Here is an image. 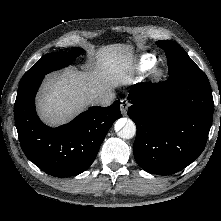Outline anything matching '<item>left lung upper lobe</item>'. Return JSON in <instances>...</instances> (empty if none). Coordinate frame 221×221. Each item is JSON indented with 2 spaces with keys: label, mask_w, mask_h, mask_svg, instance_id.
Masks as SVG:
<instances>
[{
  "label": "left lung upper lobe",
  "mask_w": 221,
  "mask_h": 221,
  "mask_svg": "<svg viewBox=\"0 0 221 221\" xmlns=\"http://www.w3.org/2000/svg\"><path fill=\"white\" fill-rule=\"evenodd\" d=\"M156 44L165 51L170 76L181 73L201 72L185 50L171 40L157 41Z\"/></svg>",
  "instance_id": "obj_1"
}]
</instances>
